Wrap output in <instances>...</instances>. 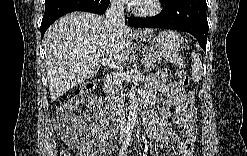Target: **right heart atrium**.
Instances as JSON below:
<instances>
[{
  "label": "right heart atrium",
  "instance_id": "1",
  "mask_svg": "<svg viewBox=\"0 0 247 156\" xmlns=\"http://www.w3.org/2000/svg\"><path fill=\"white\" fill-rule=\"evenodd\" d=\"M114 4L117 5V6H120L121 2L120 1H115Z\"/></svg>",
  "mask_w": 247,
  "mask_h": 156
}]
</instances>
